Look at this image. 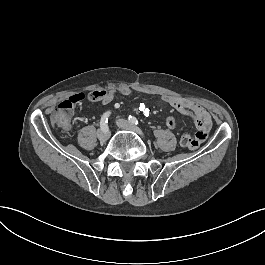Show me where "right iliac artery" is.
I'll return each instance as SVG.
<instances>
[{
  "instance_id": "right-iliac-artery-1",
  "label": "right iliac artery",
  "mask_w": 265,
  "mask_h": 265,
  "mask_svg": "<svg viewBox=\"0 0 265 265\" xmlns=\"http://www.w3.org/2000/svg\"><path fill=\"white\" fill-rule=\"evenodd\" d=\"M111 112L110 111H107L105 112L102 117H101V120H100V128L101 130L105 131L108 129V117L110 116Z\"/></svg>"
}]
</instances>
